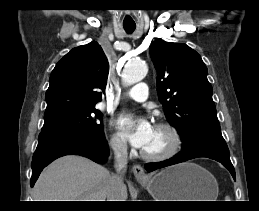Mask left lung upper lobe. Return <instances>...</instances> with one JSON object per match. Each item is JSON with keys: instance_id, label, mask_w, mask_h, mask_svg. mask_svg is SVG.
<instances>
[{"instance_id": "1", "label": "left lung upper lobe", "mask_w": 259, "mask_h": 211, "mask_svg": "<svg viewBox=\"0 0 259 211\" xmlns=\"http://www.w3.org/2000/svg\"><path fill=\"white\" fill-rule=\"evenodd\" d=\"M150 56L157 69L159 101L181 136L182 150L204 140L225 143L200 55L186 44L158 40L151 44Z\"/></svg>"}]
</instances>
